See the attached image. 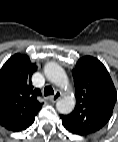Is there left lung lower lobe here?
<instances>
[{"label":"left lung lower lobe","instance_id":"0a47b994","mask_svg":"<svg viewBox=\"0 0 118 142\" xmlns=\"http://www.w3.org/2000/svg\"><path fill=\"white\" fill-rule=\"evenodd\" d=\"M63 126L71 133L76 134V135H85L84 132H82L79 128H77L76 126L67 123L65 121H62Z\"/></svg>","mask_w":118,"mask_h":142}]
</instances>
